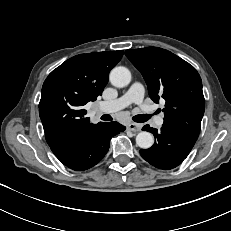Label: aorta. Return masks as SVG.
<instances>
[{
    "label": "aorta",
    "mask_w": 231,
    "mask_h": 231,
    "mask_svg": "<svg viewBox=\"0 0 231 231\" xmlns=\"http://www.w3.org/2000/svg\"><path fill=\"white\" fill-rule=\"evenodd\" d=\"M109 80L113 86L123 88L131 82V73L126 67H115L110 72ZM153 143L154 137L147 131H141L136 136V144L142 149L150 148Z\"/></svg>",
    "instance_id": "762f6f07"
}]
</instances>
